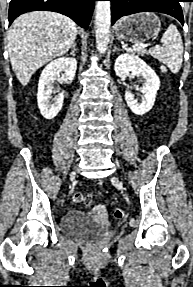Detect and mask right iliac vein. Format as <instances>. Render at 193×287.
Instances as JSON below:
<instances>
[{
	"label": "right iliac vein",
	"instance_id": "1",
	"mask_svg": "<svg viewBox=\"0 0 193 287\" xmlns=\"http://www.w3.org/2000/svg\"><path fill=\"white\" fill-rule=\"evenodd\" d=\"M75 175H76V172H75V171H73V172H72V174H71V177H72V178H74V177H75Z\"/></svg>",
	"mask_w": 193,
	"mask_h": 287
}]
</instances>
